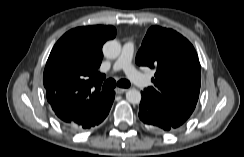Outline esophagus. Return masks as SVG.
I'll return each mask as SVG.
<instances>
[{"label": "esophagus", "instance_id": "1", "mask_svg": "<svg viewBox=\"0 0 244 157\" xmlns=\"http://www.w3.org/2000/svg\"><path fill=\"white\" fill-rule=\"evenodd\" d=\"M127 90H128L127 88H119V87H117V88L115 89V92H116L117 94H122V93L126 92Z\"/></svg>", "mask_w": 244, "mask_h": 157}]
</instances>
